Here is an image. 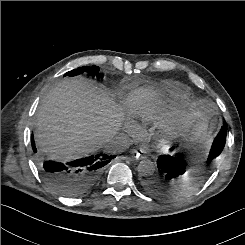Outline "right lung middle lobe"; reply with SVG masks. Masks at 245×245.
<instances>
[{
	"instance_id": "dd1d6c3e",
	"label": "right lung middle lobe",
	"mask_w": 245,
	"mask_h": 245,
	"mask_svg": "<svg viewBox=\"0 0 245 245\" xmlns=\"http://www.w3.org/2000/svg\"><path fill=\"white\" fill-rule=\"evenodd\" d=\"M82 73L87 74L88 76H92V77H103L102 75L99 74V67L93 65L91 67L89 66H83V67H79L77 69H74L70 72H67L64 76H77L80 75Z\"/></svg>"
}]
</instances>
